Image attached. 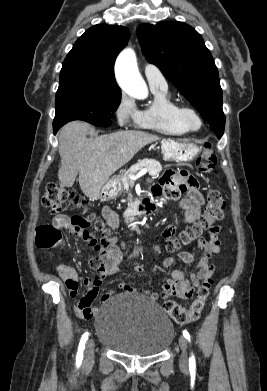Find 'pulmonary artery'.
<instances>
[{"label":"pulmonary artery","mask_w":267,"mask_h":391,"mask_svg":"<svg viewBox=\"0 0 267 391\" xmlns=\"http://www.w3.org/2000/svg\"><path fill=\"white\" fill-rule=\"evenodd\" d=\"M144 75L150 87H167L166 79L157 67L146 64L144 66Z\"/></svg>","instance_id":"1"}]
</instances>
